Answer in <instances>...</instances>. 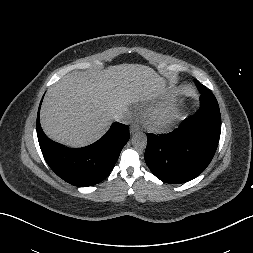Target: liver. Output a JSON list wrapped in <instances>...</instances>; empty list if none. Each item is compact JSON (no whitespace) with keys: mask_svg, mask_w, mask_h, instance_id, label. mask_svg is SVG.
I'll list each match as a JSON object with an SVG mask.
<instances>
[{"mask_svg":"<svg viewBox=\"0 0 253 253\" xmlns=\"http://www.w3.org/2000/svg\"><path fill=\"white\" fill-rule=\"evenodd\" d=\"M165 89L166 81L141 64L109 66L91 74L74 71L49 88L41 107V126L58 143L86 146L107 132L115 113Z\"/></svg>","mask_w":253,"mask_h":253,"instance_id":"liver-1","label":"liver"}]
</instances>
